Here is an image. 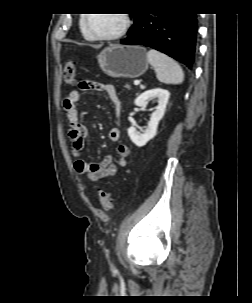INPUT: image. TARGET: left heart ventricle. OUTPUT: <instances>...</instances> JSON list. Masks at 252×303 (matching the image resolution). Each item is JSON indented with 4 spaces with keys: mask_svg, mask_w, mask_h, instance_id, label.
I'll list each match as a JSON object with an SVG mask.
<instances>
[{
    "mask_svg": "<svg viewBox=\"0 0 252 303\" xmlns=\"http://www.w3.org/2000/svg\"><path fill=\"white\" fill-rule=\"evenodd\" d=\"M87 29L92 34H110L117 31L123 23L120 14H91Z\"/></svg>",
    "mask_w": 252,
    "mask_h": 303,
    "instance_id": "obj_1",
    "label": "left heart ventricle"
}]
</instances>
